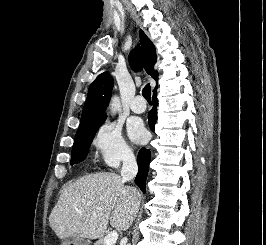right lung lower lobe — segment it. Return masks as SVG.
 Masks as SVG:
<instances>
[{
    "instance_id": "obj_1",
    "label": "right lung lower lobe",
    "mask_w": 266,
    "mask_h": 245,
    "mask_svg": "<svg viewBox=\"0 0 266 245\" xmlns=\"http://www.w3.org/2000/svg\"><path fill=\"white\" fill-rule=\"evenodd\" d=\"M157 117V98H156V91L153 94V109L150 111L148 119H149V126L152 130H154V125L156 122ZM150 150L146 148H142L137 156V163H138V174L135 178V183L139 186V188L145 193L146 187V178L149 170V162H150Z\"/></svg>"
}]
</instances>
